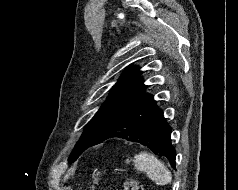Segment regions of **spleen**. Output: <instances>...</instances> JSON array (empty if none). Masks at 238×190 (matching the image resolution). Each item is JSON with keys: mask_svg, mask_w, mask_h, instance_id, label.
<instances>
[{"mask_svg": "<svg viewBox=\"0 0 238 190\" xmlns=\"http://www.w3.org/2000/svg\"><path fill=\"white\" fill-rule=\"evenodd\" d=\"M126 161L129 162L128 159ZM133 162L135 169L146 173V175L157 185L163 186L171 183V172L154 155L142 152L139 155L134 156Z\"/></svg>", "mask_w": 238, "mask_h": 190, "instance_id": "1", "label": "spleen"}]
</instances>
